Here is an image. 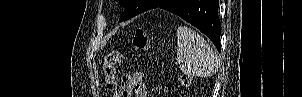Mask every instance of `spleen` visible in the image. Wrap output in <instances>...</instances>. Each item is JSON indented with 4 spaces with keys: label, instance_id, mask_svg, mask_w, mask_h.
Listing matches in <instances>:
<instances>
[{
    "label": "spleen",
    "instance_id": "1",
    "mask_svg": "<svg viewBox=\"0 0 302 97\" xmlns=\"http://www.w3.org/2000/svg\"><path fill=\"white\" fill-rule=\"evenodd\" d=\"M177 57L185 61L180 70L186 75L210 77L218 69V58L205 39L186 26L178 27Z\"/></svg>",
    "mask_w": 302,
    "mask_h": 97
}]
</instances>
